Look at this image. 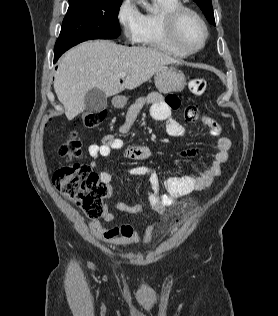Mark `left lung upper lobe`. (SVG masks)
I'll use <instances>...</instances> for the list:
<instances>
[{
  "label": "left lung upper lobe",
  "mask_w": 278,
  "mask_h": 316,
  "mask_svg": "<svg viewBox=\"0 0 278 316\" xmlns=\"http://www.w3.org/2000/svg\"><path fill=\"white\" fill-rule=\"evenodd\" d=\"M196 4L200 7L203 11L204 15L206 16L207 20L215 25L214 13L212 8L211 0H193Z\"/></svg>",
  "instance_id": "1"
}]
</instances>
